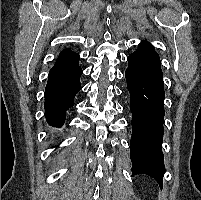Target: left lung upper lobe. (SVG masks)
<instances>
[{
    "mask_svg": "<svg viewBox=\"0 0 201 200\" xmlns=\"http://www.w3.org/2000/svg\"><path fill=\"white\" fill-rule=\"evenodd\" d=\"M137 53H153V54H156V51L154 50V47L146 42V41H143L141 44H139L138 46V50L135 51Z\"/></svg>",
    "mask_w": 201,
    "mask_h": 200,
    "instance_id": "obj_1",
    "label": "left lung upper lobe"
}]
</instances>
